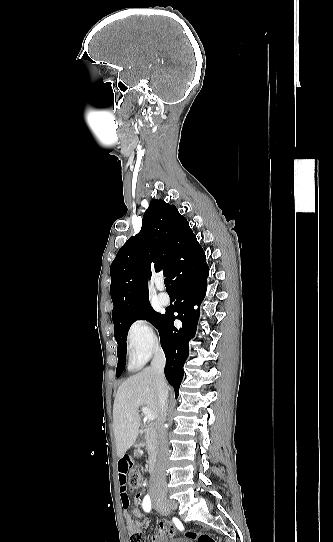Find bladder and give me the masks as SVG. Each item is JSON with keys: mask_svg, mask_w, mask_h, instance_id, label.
Listing matches in <instances>:
<instances>
[{"mask_svg": "<svg viewBox=\"0 0 333 542\" xmlns=\"http://www.w3.org/2000/svg\"><path fill=\"white\" fill-rule=\"evenodd\" d=\"M167 542H194V540L193 539L174 537V538L170 539Z\"/></svg>", "mask_w": 333, "mask_h": 542, "instance_id": "31cf9c89", "label": "bladder"}]
</instances>
